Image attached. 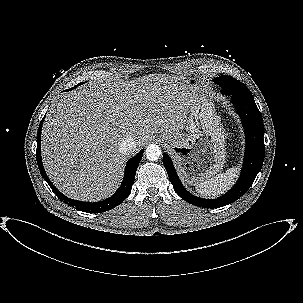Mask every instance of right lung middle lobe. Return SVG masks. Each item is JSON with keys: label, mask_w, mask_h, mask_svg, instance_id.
<instances>
[{"label": "right lung middle lobe", "mask_w": 303, "mask_h": 303, "mask_svg": "<svg viewBox=\"0 0 303 303\" xmlns=\"http://www.w3.org/2000/svg\"><path fill=\"white\" fill-rule=\"evenodd\" d=\"M82 83H79L78 85L74 86L72 89L76 88L77 86L81 85Z\"/></svg>", "instance_id": "obj_1"}]
</instances>
